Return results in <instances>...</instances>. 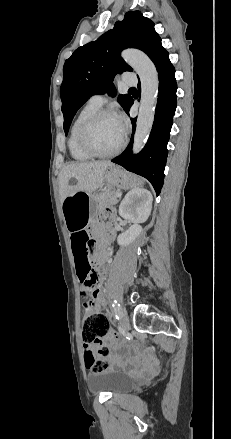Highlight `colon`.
Wrapping results in <instances>:
<instances>
[{"label":"colon","instance_id":"5ec220e1","mask_svg":"<svg viewBox=\"0 0 231 439\" xmlns=\"http://www.w3.org/2000/svg\"><path fill=\"white\" fill-rule=\"evenodd\" d=\"M72 229L78 230L79 228L74 225ZM78 277L82 282L81 295L86 299L83 305L86 314L83 320L82 337L86 344L95 342L99 355L104 356L107 354V349L98 340L108 334V322L103 314L90 312L97 276L93 273L91 265L87 263L79 266ZM84 363L86 368L94 372L106 370L110 366L107 359H97L91 351L84 353Z\"/></svg>","mask_w":231,"mask_h":439}]
</instances>
